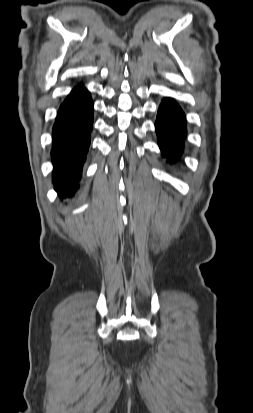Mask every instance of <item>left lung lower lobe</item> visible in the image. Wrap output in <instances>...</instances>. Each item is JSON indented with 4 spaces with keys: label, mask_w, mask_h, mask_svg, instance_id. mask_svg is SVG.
<instances>
[{
    "label": "left lung lower lobe",
    "mask_w": 253,
    "mask_h": 413,
    "mask_svg": "<svg viewBox=\"0 0 253 413\" xmlns=\"http://www.w3.org/2000/svg\"><path fill=\"white\" fill-rule=\"evenodd\" d=\"M158 145L169 162L178 161L186 136L185 115L172 99H163L155 122Z\"/></svg>",
    "instance_id": "obj_1"
}]
</instances>
